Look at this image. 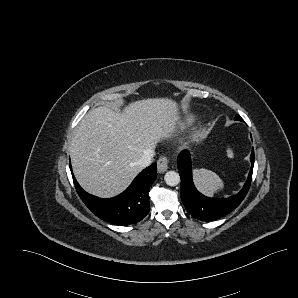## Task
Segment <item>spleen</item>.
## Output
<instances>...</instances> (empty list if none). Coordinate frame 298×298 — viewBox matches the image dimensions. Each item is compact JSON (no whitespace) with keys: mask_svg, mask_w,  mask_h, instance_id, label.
Instances as JSON below:
<instances>
[{"mask_svg":"<svg viewBox=\"0 0 298 298\" xmlns=\"http://www.w3.org/2000/svg\"><path fill=\"white\" fill-rule=\"evenodd\" d=\"M225 153L228 159H233L235 157V151L230 144H226ZM191 174L196 190L208 198H213L214 195L220 194L225 190L224 181L215 172L203 168H193ZM221 175L223 177L226 176V171L224 169L221 170Z\"/></svg>","mask_w":298,"mask_h":298,"instance_id":"obj_1","label":"spleen"}]
</instances>
